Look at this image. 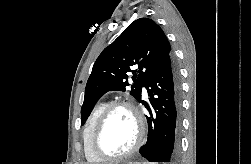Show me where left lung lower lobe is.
<instances>
[{"label":"left lung lower lobe","instance_id":"left-lung-lower-lobe-1","mask_svg":"<svg viewBox=\"0 0 251 164\" xmlns=\"http://www.w3.org/2000/svg\"><path fill=\"white\" fill-rule=\"evenodd\" d=\"M150 105L148 139L139 151L149 162L174 164L179 156L181 127V83L173 57L163 63L145 80ZM144 103V102H142Z\"/></svg>","mask_w":251,"mask_h":164}]
</instances>
